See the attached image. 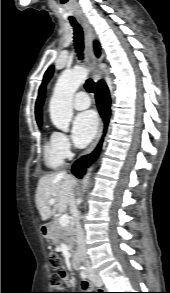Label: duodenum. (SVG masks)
Returning <instances> with one entry per match:
<instances>
[{
	"label": "duodenum",
	"instance_id": "1",
	"mask_svg": "<svg viewBox=\"0 0 170 293\" xmlns=\"http://www.w3.org/2000/svg\"><path fill=\"white\" fill-rule=\"evenodd\" d=\"M49 229L47 226L41 227V234L43 237H48ZM72 266L75 270L79 269V256L77 252H74L73 258H72Z\"/></svg>",
	"mask_w": 170,
	"mask_h": 293
}]
</instances>
